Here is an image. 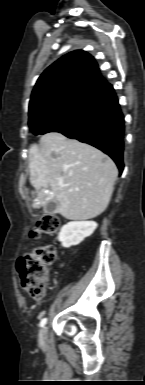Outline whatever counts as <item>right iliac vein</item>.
<instances>
[{"mask_svg":"<svg viewBox=\"0 0 145 385\" xmlns=\"http://www.w3.org/2000/svg\"><path fill=\"white\" fill-rule=\"evenodd\" d=\"M47 334H48L47 327H43L39 332L40 342H45L47 340Z\"/></svg>","mask_w":145,"mask_h":385,"instance_id":"obj_1","label":"right iliac vein"}]
</instances>
